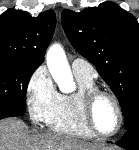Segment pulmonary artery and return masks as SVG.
Listing matches in <instances>:
<instances>
[{"mask_svg":"<svg viewBox=\"0 0 139 150\" xmlns=\"http://www.w3.org/2000/svg\"><path fill=\"white\" fill-rule=\"evenodd\" d=\"M71 67L75 76L93 79V67L88 61L81 58H76L73 60Z\"/></svg>","mask_w":139,"mask_h":150,"instance_id":"obj_1","label":"pulmonary artery"}]
</instances>
